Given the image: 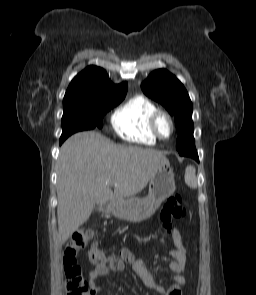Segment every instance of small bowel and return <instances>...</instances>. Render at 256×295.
<instances>
[{
	"mask_svg": "<svg viewBox=\"0 0 256 295\" xmlns=\"http://www.w3.org/2000/svg\"><path fill=\"white\" fill-rule=\"evenodd\" d=\"M173 240L175 248L168 252V256L172 259L168 267L170 271L174 273V284L169 288L165 289L156 284L151 274L146 269L144 262L140 259H136L129 249L121 248L117 257L111 258L108 263L105 262L101 265H96L89 273V295H98L101 291V287L96 284V280L99 276H105L111 272H121L124 270L125 264L131 266L132 270L149 289L161 295H182L181 287L186 283L184 272L187 265V250L181 233L177 229L173 230Z\"/></svg>",
	"mask_w": 256,
	"mask_h": 295,
	"instance_id": "small-bowel-1",
	"label": "small bowel"
}]
</instances>
